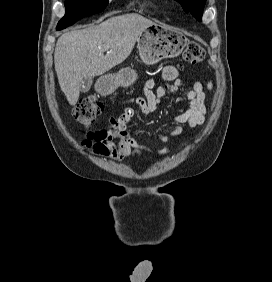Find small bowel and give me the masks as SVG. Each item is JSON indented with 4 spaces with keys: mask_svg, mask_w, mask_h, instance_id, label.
Returning a JSON list of instances; mask_svg holds the SVG:
<instances>
[{
    "mask_svg": "<svg viewBox=\"0 0 272 282\" xmlns=\"http://www.w3.org/2000/svg\"><path fill=\"white\" fill-rule=\"evenodd\" d=\"M163 78L168 81H173L170 89L161 86L153 91L155 83L153 80L146 82L143 93L146 101L142 98L132 99V102L138 104L144 116L149 115L157 110L161 102V97L168 92H179L180 95L189 101L188 109L181 115L173 119V129L170 134L160 132L158 134L159 140L164 144V147L158 151H152L147 146L139 143L132 138L127 129L130 126L134 111L130 107H124L122 113L117 118H111L109 129V147L112 150L114 159H124L131 155H140L142 152H152L157 155H165L169 150V139L179 135L182 131L181 124H187L194 128L202 125L206 121V91L200 82H190L188 80H181L178 78L177 70L173 66H167L163 70ZM207 88H212V83L207 84ZM118 139L117 144L113 140ZM133 148V151L131 150Z\"/></svg>",
    "mask_w": 272,
    "mask_h": 282,
    "instance_id": "obj_1",
    "label": "small bowel"
}]
</instances>
